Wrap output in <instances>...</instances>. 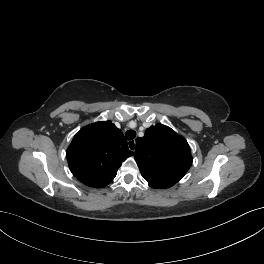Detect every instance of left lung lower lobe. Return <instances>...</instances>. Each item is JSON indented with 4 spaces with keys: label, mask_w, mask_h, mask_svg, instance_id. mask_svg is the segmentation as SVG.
Listing matches in <instances>:
<instances>
[{
    "label": "left lung lower lobe",
    "mask_w": 264,
    "mask_h": 264,
    "mask_svg": "<svg viewBox=\"0 0 264 264\" xmlns=\"http://www.w3.org/2000/svg\"><path fill=\"white\" fill-rule=\"evenodd\" d=\"M145 179L148 181L149 185L153 188H166L175 184L171 179L166 177L155 176Z\"/></svg>",
    "instance_id": "1"
}]
</instances>
